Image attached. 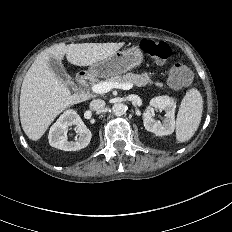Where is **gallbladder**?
Here are the masks:
<instances>
[{"label":"gallbladder","mask_w":232,"mask_h":232,"mask_svg":"<svg viewBox=\"0 0 232 232\" xmlns=\"http://www.w3.org/2000/svg\"><path fill=\"white\" fill-rule=\"evenodd\" d=\"M50 69L56 75V77L62 81L65 85H71V77L67 74L61 61L55 57H50L48 60Z\"/></svg>","instance_id":"bac80fb5"}]
</instances>
